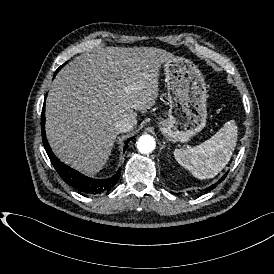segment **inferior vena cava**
Returning a JSON list of instances; mask_svg holds the SVG:
<instances>
[{
  "label": "inferior vena cava",
  "instance_id": "obj_1",
  "mask_svg": "<svg viewBox=\"0 0 274 274\" xmlns=\"http://www.w3.org/2000/svg\"><path fill=\"white\" fill-rule=\"evenodd\" d=\"M136 124H137L136 119H133L130 117L123 118L115 122L114 130L116 133L130 132L134 129Z\"/></svg>",
  "mask_w": 274,
  "mask_h": 274
}]
</instances>
